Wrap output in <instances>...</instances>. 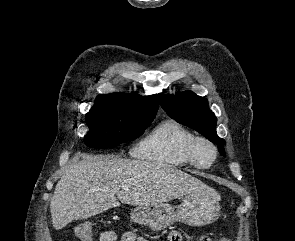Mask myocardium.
Masks as SVG:
<instances>
[{"label":"myocardium","instance_id":"f54148a6","mask_svg":"<svg viewBox=\"0 0 295 241\" xmlns=\"http://www.w3.org/2000/svg\"><path fill=\"white\" fill-rule=\"evenodd\" d=\"M200 144L207 145L212 151V159L208 164H202L197 159V148ZM186 155L190 164L197 168L208 169L214 165L218 157V149L216 145L207 137L195 136L187 146Z\"/></svg>","mask_w":295,"mask_h":241}]
</instances>
